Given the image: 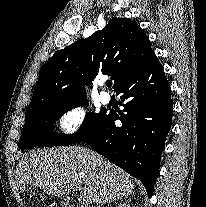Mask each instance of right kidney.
I'll use <instances>...</instances> for the list:
<instances>
[{"label": "right kidney", "mask_w": 206, "mask_h": 207, "mask_svg": "<svg viewBox=\"0 0 206 207\" xmlns=\"http://www.w3.org/2000/svg\"><path fill=\"white\" fill-rule=\"evenodd\" d=\"M117 207H130V205L127 203H123V204H119Z\"/></svg>", "instance_id": "obj_1"}]
</instances>
